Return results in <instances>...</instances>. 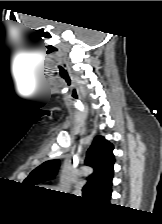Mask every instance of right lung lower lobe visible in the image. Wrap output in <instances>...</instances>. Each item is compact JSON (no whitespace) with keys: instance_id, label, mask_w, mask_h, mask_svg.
I'll return each instance as SVG.
<instances>
[{"instance_id":"1","label":"right lung lower lobe","mask_w":162,"mask_h":224,"mask_svg":"<svg viewBox=\"0 0 162 224\" xmlns=\"http://www.w3.org/2000/svg\"><path fill=\"white\" fill-rule=\"evenodd\" d=\"M111 193H112V192H111ZM111 193L108 194L107 196H105L102 200L108 202V201L110 200V198H111Z\"/></svg>"}]
</instances>
